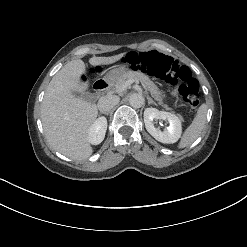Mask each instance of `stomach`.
I'll return each instance as SVG.
<instances>
[{"label":"stomach","mask_w":247,"mask_h":247,"mask_svg":"<svg viewBox=\"0 0 247 247\" xmlns=\"http://www.w3.org/2000/svg\"><path fill=\"white\" fill-rule=\"evenodd\" d=\"M126 72L128 71L124 66L114 68L104 76V80L108 84H111V85L116 84L118 79L121 77V75H123Z\"/></svg>","instance_id":"stomach-1"}]
</instances>
